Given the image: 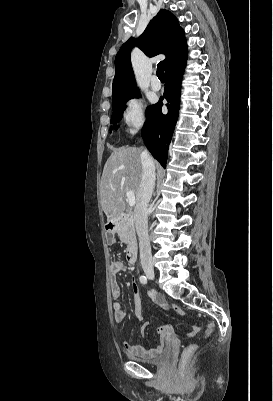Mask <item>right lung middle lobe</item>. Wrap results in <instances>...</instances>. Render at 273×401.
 I'll use <instances>...</instances> for the list:
<instances>
[{
    "mask_svg": "<svg viewBox=\"0 0 273 401\" xmlns=\"http://www.w3.org/2000/svg\"><path fill=\"white\" fill-rule=\"evenodd\" d=\"M138 97H140L139 94H138V95H135V96H132V97L128 98L127 100H125V101H124L123 103H121L120 105H118V106H116V107H113V113H112V115H111V122H113V123L118 122V121L121 119L122 115H123V111H124V108H125V103H126L129 99H131V98H138ZM151 107H152V106H149L148 109H147V113H146V115H147V121H146V123H145V126L148 124V121H149V115H150ZM145 126H144V127H145Z\"/></svg>",
    "mask_w": 273,
    "mask_h": 401,
    "instance_id": "dd1d6c3e",
    "label": "right lung middle lobe"
}]
</instances>
